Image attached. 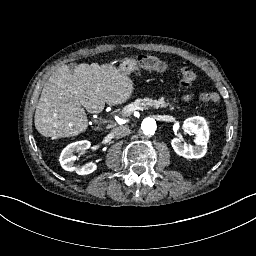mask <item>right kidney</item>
Returning a JSON list of instances; mask_svg holds the SVG:
<instances>
[{
    "label": "right kidney",
    "mask_w": 256,
    "mask_h": 256,
    "mask_svg": "<svg viewBox=\"0 0 256 256\" xmlns=\"http://www.w3.org/2000/svg\"><path fill=\"white\" fill-rule=\"evenodd\" d=\"M91 146L90 141L81 140L67 145L61 152L59 161L62 168L66 171L76 172L78 175H87L94 172L97 168L96 164L93 162L86 163L82 166L74 165L76 156L73 155L74 152L85 151Z\"/></svg>",
    "instance_id": "obj_1"
}]
</instances>
